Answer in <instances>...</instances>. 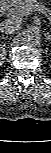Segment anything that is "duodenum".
I'll return each instance as SVG.
<instances>
[{
	"label": "duodenum",
	"instance_id": "duodenum-1",
	"mask_svg": "<svg viewBox=\"0 0 51 153\" xmlns=\"http://www.w3.org/2000/svg\"><path fill=\"white\" fill-rule=\"evenodd\" d=\"M8 0H5L0 6V13L3 14L8 8Z\"/></svg>",
	"mask_w": 51,
	"mask_h": 153
}]
</instances>
